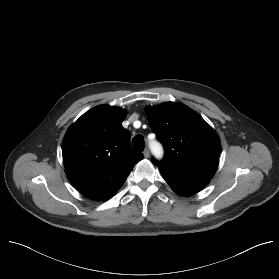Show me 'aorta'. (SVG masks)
<instances>
[{"label":"aorta","instance_id":"obj_1","mask_svg":"<svg viewBox=\"0 0 279 279\" xmlns=\"http://www.w3.org/2000/svg\"><path fill=\"white\" fill-rule=\"evenodd\" d=\"M150 149L152 154L157 158L160 159L163 156V148L160 143L158 142H151Z\"/></svg>","mask_w":279,"mask_h":279}]
</instances>
